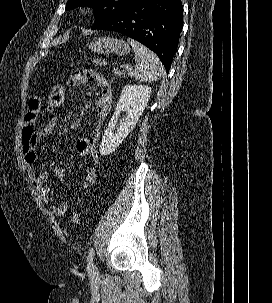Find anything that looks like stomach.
Here are the masks:
<instances>
[{
  "label": "stomach",
  "instance_id": "stomach-1",
  "mask_svg": "<svg viewBox=\"0 0 272 303\" xmlns=\"http://www.w3.org/2000/svg\"><path fill=\"white\" fill-rule=\"evenodd\" d=\"M88 47L92 52L98 54L115 53L122 56L130 52V47L126 42L109 37L98 38L91 42Z\"/></svg>",
  "mask_w": 272,
  "mask_h": 303
}]
</instances>
